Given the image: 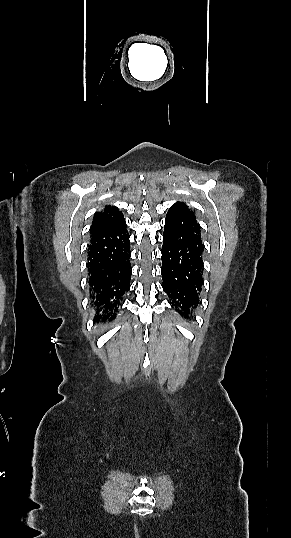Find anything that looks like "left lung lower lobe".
I'll list each match as a JSON object with an SVG mask.
<instances>
[{"label": "left lung lower lobe", "instance_id": "0a47b994", "mask_svg": "<svg viewBox=\"0 0 291 538\" xmlns=\"http://www.w3.org/2000/svg\"><path fill=\"white\" fill-rule=\"evenodd\" d=\"M203 250L195 215L170 208L163 232V290L169 296L170 304L189 320L193 309L200 303Z\"/></svg>", "mask_w": 291, "mask_h": 538}]
</instances>
